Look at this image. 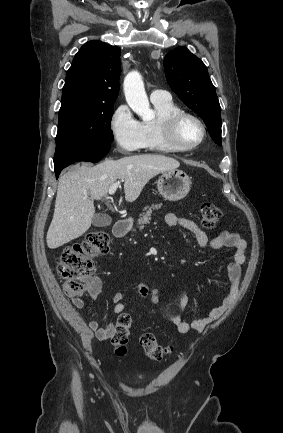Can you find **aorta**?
Returning a JSON list of instances; mask_svg holds the SVG:
<instances>
[{"instance_id":"obj_1","label":"aorta","mask_w":283,"mask_h":433,"mask_svg":"<svg viewBox=\"0 0 283 433\" xmlns=\"http://www.w3.org/2000/svg\"><path fill=\"white\" fill-rule=\"evenodd\" d=\"M123 87L126 101L130 108L143 121L154 119L155 112L150 108L140 73L138 71L129 72L124 79Z\"/></svg>"}]
</instances>
